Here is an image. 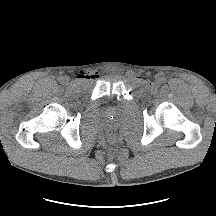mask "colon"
<instances>
[{
	"label": "colon",
	"mask_w": 216,
	"mask_h": 216,
	"mask_svg": "<svg viewBox=\"0 0 216 216\" xmlns=\"http://www.w3.org/2000/svg\"><path fill=\"white\" fill-rule=\"evenodd\" d=\"M108 140L110 141V142H115L116 141V139H117V135H116V133H115V131H113V130H110L109 132H108Z\"/></svg>",
	"instance_id": "1"
}]
</instances>
